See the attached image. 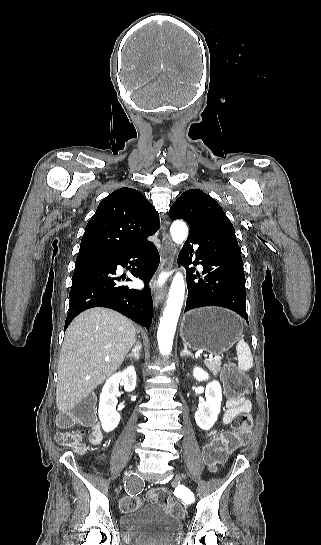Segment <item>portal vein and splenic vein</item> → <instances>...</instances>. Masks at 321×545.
Here are the masks:
<instances>
[{
	"label": "portal vein and splenic vein",
	"instance_id": "1",
	"mask_svg": "<svg viewBox=\"0 0 321 545\" xmlns=\"http://www.w3.org/2000/svg\"><path fill=\"white\" fill-rule=\"evenodd\" d=\"M208 357H209L208 353H204V355H202V358H208ZM105 361H110V359H105Z\"/></svg>",
	"mask_w": 321,
	"mask_h": 545
}]
</instances>
